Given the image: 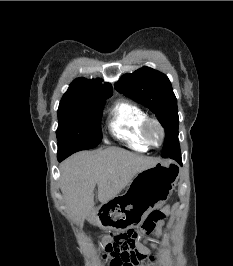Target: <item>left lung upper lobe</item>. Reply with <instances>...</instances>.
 Returning <instances> with one entry per match:
<instances>
[{
  "instance_id": "left-lung-upper-lobe-1",
  "label": "left lung upper lobe",
  "mask_w": 233,
  "mask_h": 266,
  "mask_svg": "<svg viewBox=\"0 0 233 266\" xmlns=\"http://www.w3.org/2000/svg\"><path fill=\"white\" fill-rule=\"evenodd\" d=\"M115 88L149 108L165 129L162 157L179 147L177 99L168 77L152 68L142 67L121 77Z\"/></svg>"
}]
</instances>
